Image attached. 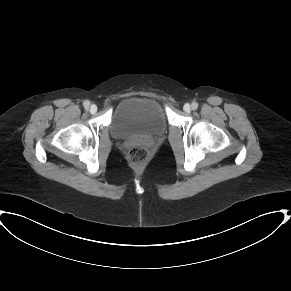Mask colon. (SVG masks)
Wrapping results in <instances>:
<instances>
[{
	"label": "colon",
	"instance_id": "obj_1",
	"mask_svg": "<svg viewBox=\"0 0 291 291\" xmlns=\"http://www.w3.org/2000/svg\"><path fill=\"white\" fill-rule=\"evenodd\" d=\"M127 158L135 170L141 171L150 158V152L145 146L137 145L129 150Z\"/></svg>",
	"mask_w": 291,
	"mask_h": 291
}]
</instances>
